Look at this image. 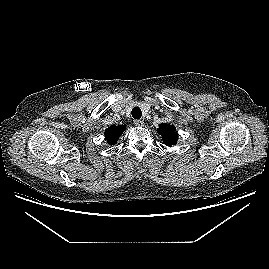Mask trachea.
Returning <instances> with one entry per match:
<instances>
[{
	"instance_id": "obj_1",
	"label": "trachea",
	"mask_w": 269,
	"mask_h": 269,
	"mask_svg": "<svg viewBox=\"0 0 269 269\" xmlns=\"http://www.w3.org/2000/svg\"><path fill=\"white\" fill-rule=\"evenodd\" d=\"M131 114L134 119H140L142 116V111L139 107H134Z\"/></svg>"
}]
</instances>
